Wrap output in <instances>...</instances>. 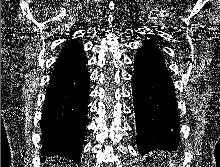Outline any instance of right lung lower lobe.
I'll return each instance as SVG.
<instances>
[{
    "label": "right lung lower lobe",
    "mask_w": 220,
    "mask_h": 167,
    "mask_svg": "<svg viewBox=\"0 0 220 167\" xmlns=\"http://www.w3.org/2000/svg\"><path fill=\"white\" fill-rule=\"evenodd\" d=\"M86 63L55 70L51 77L41 120V154L45 157L58 155L80 161L90 88Z\"/></svg>",
    "instance_id": "98d812e1"
}]
</instances>
